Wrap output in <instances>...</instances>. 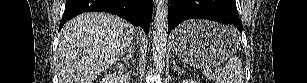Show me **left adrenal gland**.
Wrapping results in <instances>:
<instances>
[{
	"mask_svg": "<svg viewBox=\"0 0 307 83\" xmlns=\"http://www.w3.org/2000/svg\"><path fill=\"white\" fill-rule=\"evenodd\" d=\"M178 71L180 73H184V70L177 66L175 60L173 59V72Z\"/></svg>",
	"mask_w": 307,
	"mask_h": 83,
	"instance_id": "a2214340",
	"label": "left adrenal gland"
}]
</instances>
